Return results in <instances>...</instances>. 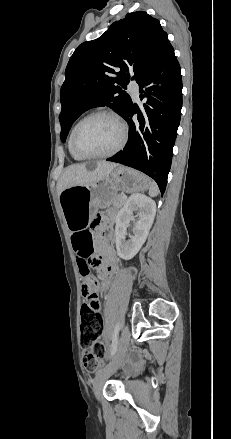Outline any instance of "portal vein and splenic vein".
<instances>
[{
	"label": "portal vein and splenic vein",
	"instance_id": "18ae733b",
	"mask_svg": "<svg viewBox=\"0 0 231 439\" xmlns=\"http://www.w3.org/2000/svg\"><path fill=\"white\" fill-rule=\"evenodd\" d=\"M122 198L125 200V199L127 198V196H126V195H123Z\"/></svg>",
	"mask_w": 231,
	"mask_h": 439
}]
</instances>
